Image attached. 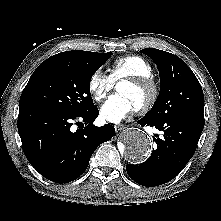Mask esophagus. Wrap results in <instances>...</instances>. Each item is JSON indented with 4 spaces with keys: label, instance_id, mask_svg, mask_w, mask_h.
Listing matches in <instances>:
<instances>
[{
    "label": "esophagus",
    "instance_id": "1",
    "mask_svg": "<svg viewBox=\"0 0 221 221\" xmlns=\"http://www.w3.org/2000/svg\"><path fill=\"white\" fill-rule=\"evenodd\" d=\"M124 128H125L124 125H121V124L115 125V131L116 132L122 131Z\"/></svg>",
    "mask_w": 221,
    "mask_h": 221
}]
</instances>
